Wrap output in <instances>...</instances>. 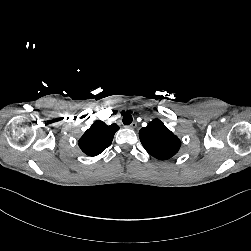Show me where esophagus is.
Here are the masks:
<instances>
[{
	"label": "esophagus",
	"instance_id": "esophagus-1",
	"mask_svg": "<svg viewBox=\"0 0 251 251\" xmlns=\"http://www.w3.org/2000/svg\"><path fill=\"white\" fill-rule=\"evenodd\" d=\"M137 126V123L136 122H132L128 127L131 128V129H135Z\"/></svg>",
	"mask_w": 251,
	"mask_h": 251
}]
</instances>
